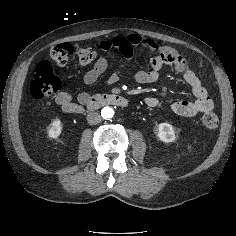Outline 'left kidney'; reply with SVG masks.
<instances>
[{
    "instance_id": "obj_1",
    "label": "left kidney",
    "mask_w": 236,
    "mask_h": 236,
    "mask_svg": "<svg viewBox=\"0 0 236 236\" xmlns=\"http://www.w3.org/2000/svg\"><path fill=\"white\" fill-rule=\"evenodd\" d=\"M158 138L165 143H170L175 140V132L169 123H160L157 127Z\"/></svg>"
}]
</instances>
